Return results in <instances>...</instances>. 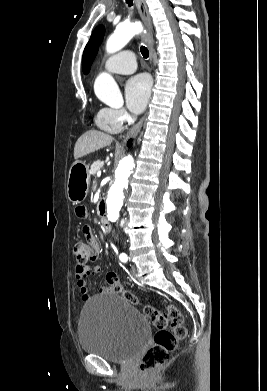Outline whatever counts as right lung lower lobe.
I'll return each instance as SVG.
<instances>
[{"label": "right lung lower lobe", "instance_id": "obj_1", "mask_svg": "<svg viewBox=\"0 0 267 391\" xmlns=\"http://www.w3.org/2000/svg\"><path fill=\"white\" fill-rule=\"evenodd\" d=\"M130 145H131V141L128 142V146H130Z\"/></svg>", "mask_w": 267, "mask_h": 391}]
</instances>
